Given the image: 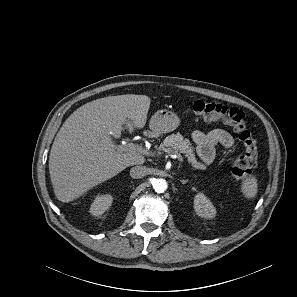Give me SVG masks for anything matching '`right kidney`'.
<instances>
[{
	"instance_id": "1",
	"label": "right kidney",
	"mask_w": 297,
	"mask_h": 297,
	"mask_svg": "<svg viewBox=\"0 0 297 297\" xmlns=\"http://www.w3.org/2000/svg\"><path fill=\"white\" fill-rule=\"evenodd\" d=\"M113 198L109 194L98 195L90 207V213L95 216L102 215L111 206Z\"/></svg>"
}]
</instances>
